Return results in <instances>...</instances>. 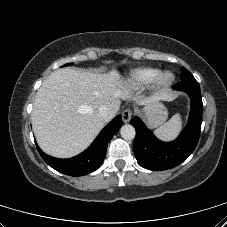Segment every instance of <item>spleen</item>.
Returning a JSON list of instances; mask_svg holds the SVG:
<instances>
[{
  "label": "spleen",
  "mask_w": 227,
  "mask_h": 227,
  "mask_svg": "<svg viewBox=\"0 0 227 227\" xmlns=\"http://www.w3.org/2000/svg\"><path fill=\"white\" fill-rule=\"evenodd\" d=\"M182 128V119L179 114L174 115L168 122L155 130V134L162 140L174 139Z\"/></svg>",
  "instance_id": "obj_1"
}]
</instances>
